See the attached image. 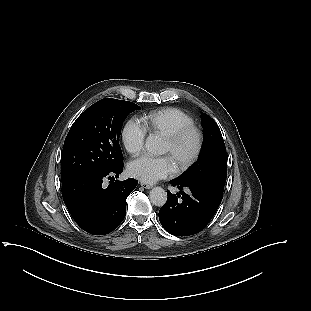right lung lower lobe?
I'll use <instances>...</instances> for the list:
<instances>
[{
    "mask_svg": "<svg viewBox=\"0 0 311 311\" xmlns=\"http://www.w3.org/2000/svg\"><path fill=\"white\" fill-rule=\"evenodd\" d=\"M123 164L111 171L88 172L62 183L64 203L75 222L86 232L94 235L108 234L123 221L126 215V199L138 184L130 178L110 181L118 177Z\"/></svg>",
    "mask_w": 311,
    "mask_h": 311,
    "instance_id": "98d812e1",
    "label": "right lung lower lobe"
}]
</instances>
